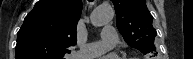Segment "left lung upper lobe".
I'll use <instances>...</instances> for the list:
<instances>
[{
  "instance_id": "obj_1",
  "label": "left lung upper lobe",
  "mask_w": 193,
  "mask_h": 59,
  "mask_svg": "<svg viewBox=\"0 0 193 59\" xmlns=\"http://www.w3.org/2000/svg\"><path fill=\"white\" fill-rule=\"evenodd\" d=\"M116 25L124 40L143 54L155 51L156 30L145 0H112Z\"/></svg>"
}]
</instances>
